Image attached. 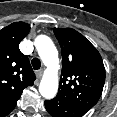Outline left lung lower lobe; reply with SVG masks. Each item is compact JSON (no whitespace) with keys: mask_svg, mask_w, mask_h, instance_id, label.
<instances>
[{"mask_svg":"<svg viewBox=\"0 0 117 117\" xmlns=\"http://www.w3.org/2000/svg\"><path fill=\"white\" fill-rule=\"evenodd\" d=\"M45 107L52 117H82L86 113L57 96L52 100H46Z\"/></svg>","mask_w":117,"mask_h":117,"instance_id":"1","label":"left lung lower lobe"}]
</instances>
